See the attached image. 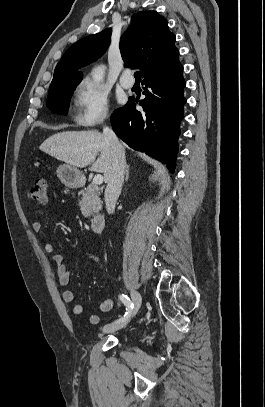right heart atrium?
<instances>
[{"instance_id":"d8ad5b80","label":"right heart atrium","mask_w":265,"mask_h":407,"mask_svg":"<svg viewBox=\"0 0 265 407\" xmlns=\"http://www.w3.org/2000/svg\"><path fill=\"white\" fill-rule=\"evenodd\" d=\"M74 120L81 127H93L109 118V99L106 91L98 84L83 80L74 95Z\"/></svg>"}]
</instances>
